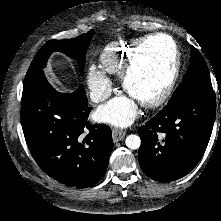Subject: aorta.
<instances>
[{
	"mask_svg": "<svg viewBox=\"0 0 221 221\" xmlns=\"http://www.w3.org/2000/svg\"><path fill=\"white\" fill-rule=\"evenodd\" d=\"M125 144L129 149L136 150L141 145V140L138 135L131 134L126 137Z\"/></svg>",
	"mask_w": 221,
	"mask_h": 221,
	"instance_id": "obj_1",
	"label": "aorta"
}]
</instances>
